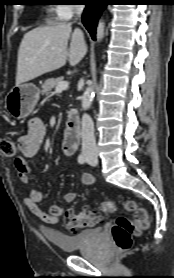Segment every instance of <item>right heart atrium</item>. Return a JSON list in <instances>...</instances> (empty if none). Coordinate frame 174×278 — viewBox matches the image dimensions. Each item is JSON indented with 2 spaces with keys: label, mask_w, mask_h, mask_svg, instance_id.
Masks as SVG:
<instances>
[{
  "label": "right heart atrium",
  "mask_w": 174,
  "mask_h": 278,
  "mask_svg": "<svg viewBox=\"0 0 174 278\" xmlns=\"http://www.w3.org/2000/svg\"><path fill=\"white\" fill-rule=\"evenodd\" d=\"M80 6L77 4H61L56 8V13L59 19L68 20L78 10Z\"/></svg>",
  "instance_id": "obj_1"
}]
</instances>
